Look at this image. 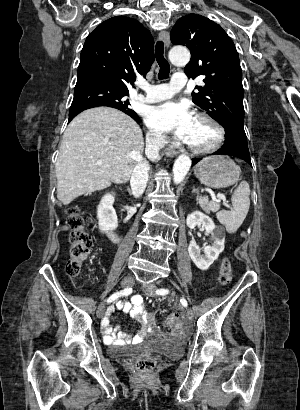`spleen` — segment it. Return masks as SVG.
Listing matches in <instances>:
<instances>
[{
    "instance_id": "1",
    "label": "spleen",
    "mask_w": 300,
    "mask_h": 410,
    "mask_svg": "<svg viewBox=\"0 0 300 410\" xmlns=\"http://www.w3.org/2000/svg\"><path fill=\"white\" fill-rule=\"evenodd\" d=\"M249 195V184L246 181H242L231 198L233 210L218 211L220 205L217 202H211V210L217 212V219L225 226L228 233H235L246 218L250 207Z\"/></svg>"
}]
</instances>
